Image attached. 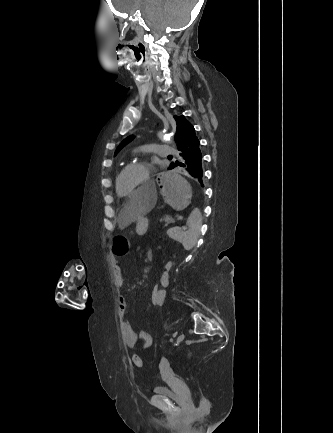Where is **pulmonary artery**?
<instances>
[{
	"label": "pulmonary artery",
	"mask_w": 333,
	"mask_h": 433,
	"mask_svg": "<svg viewBox=\"0 0 333 433\" xmlns=\"http://www.w3.org/2000/svg\"><path fill=\"white\" fill-rule=\"evenodd\" d=\"M149 150H152L160 155H166L173 152V149L166 145L153 146Z\"/></svg>",
	"instance_id": "pulmonary-artery-1"
}]
</instances>
